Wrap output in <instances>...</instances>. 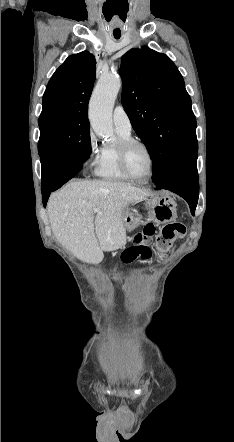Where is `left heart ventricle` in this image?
Returning a JSON list of instances; mask_svg holds the SVG:
<instances>
[{
	"label": "left heart ventricle",
	"mask_w": 234,
	"mask_h": 442,
	"mask_svg": "<svg viewBox=\"0 0 234 442\" xmlns=\"http://www.w3.org/2000/svg\"><path fill=\"white\" fill-rule=\"evenodd\" d=\"M128 167L138 179H145L150 172V162L146 151L140 146H133L128 153Z\"/></svg>",
	"instance_id": "b2bd125f"
}]
</instances>
